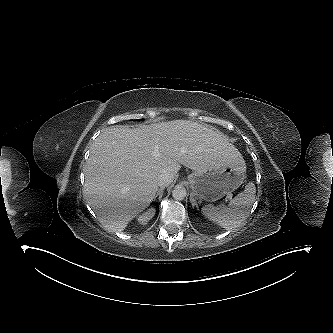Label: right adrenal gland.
<instances>
[{
  "mask_svg": "<svg viewBox=\"0 0 333 333\" xmlns=\"http://www.w3.org/2000/svg\"><path fill=\"white\" fill-rule=\"evenodd\" d=\"M163 192H164V188H160L157 191V194L154 196V201L156 200V198L159 196V200L162 198L163 196Z\"/></svg>",
  "mask_w": 333,
  "mask_h": 333,
  "instance_id": "obj_1",
  "label": "right adrenal gland"
}]
</instances>
